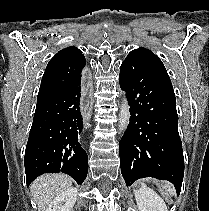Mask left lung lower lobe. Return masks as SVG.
I'll return each mask as SVG.
<instances>
[{
	"label": "left lung lower lobe",
	"instance_id": "left-lung-lower-lobe-1",
	"mask_svg": "<svg viewBox=\"0 0 209 211\" xmlns=\"http://www.w3.org/2000/svg\"><path fill=\"white\" fill-rule=\"evenodd\" d=\"M120 86L126 91L130 123L119 142L126 185L144 177L168 180L179 195L184 175L176 98L170 78L129 54L121 64Z\"/></svg>",
	"mask_w": 209,
	"mask_h": 211
}]
</instances>
